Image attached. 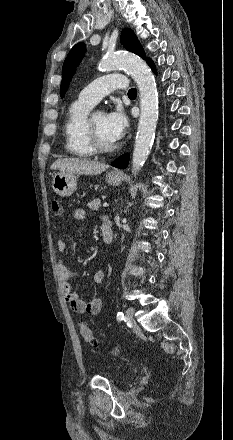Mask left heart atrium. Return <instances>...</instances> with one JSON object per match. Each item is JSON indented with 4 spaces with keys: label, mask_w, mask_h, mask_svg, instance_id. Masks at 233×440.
Returning <instances> with one entry per match:
<instances>
[{
    "label": "left heart atrium",
    "mask_w": 233,
    "mask_h": 440,
    "mask_svg": "<svg viewBox=\"0 0 233 440\" xmlns=\"http://www.w3.org/2000/svg\"><path fill=\"white\" fill-rule=\"evenodd\" d=\"M106 124L112 137L119 140L128 126V119L123 110L117 107L106 115Z\"/></svg>",
    "instance_id": "1"
}]
</instances>
